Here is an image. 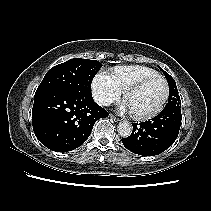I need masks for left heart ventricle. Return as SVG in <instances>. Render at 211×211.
Here are the masks:
<instances>
[{"mask_svg":"<svg viewBox=\"0 0 211 211\" xmlns=\"http://www.w3.org/2000/svg\"><path fill=\"white\" fill-rule=\"evenodd\" d=\"M165 95V85L161 80H154L141 89L130 93L126 102L131 112L147 114L155 110Z\"/></svg>","mask_w":211,"mask_h":211,"instance_id":"1","label":"left heart ventricle"}]
</instances>
